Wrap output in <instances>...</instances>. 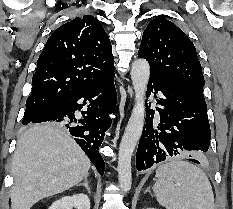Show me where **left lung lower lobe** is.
<instances>
[{
    "label": "left lung lower lobe",
    "mask_w": 233,
    "mask_h": 209,
    "mask_svg": "<svg viewBox=\"0 0 233 209\" xmlns=\"http://www.w3.org/2000/svg\"><path fill=\"white\" fill-rule=\"evenodd\" d=\"M153 92L154 98L160 93L156 103L160 122H153L155 111L146 104V125L136 155L137 170L150 168L172 156L184 155L185 150L207 152L211 133L205 100L183 85L150 73L147 97Z\"/></svg>",
    "instance_id": "obj_1"
}]
</instances>
